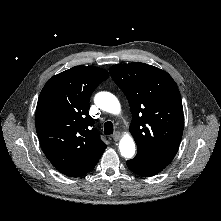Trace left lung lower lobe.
<instances>
[{
    "instance_id": "obj_1",
    "label": "left lung lower lobe",
    "mask_w": 221,
    "mask_h": 221,
    "mask_svg": "<svg viewBox=\"0 0 221 221\" xmlns=\"http://www.w3.org/2000/svg\"><path fill=\"white\" fill-rule=\"evenodd\" d=\"M126 163L132 172L145 177L159 173L168 165L138 155Z\"/></svg>"
}]
</instances>
